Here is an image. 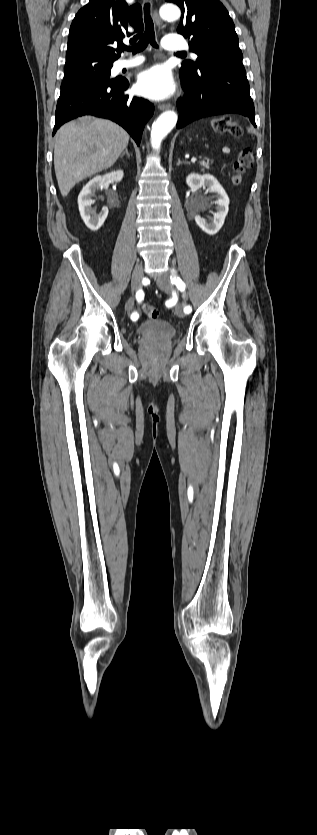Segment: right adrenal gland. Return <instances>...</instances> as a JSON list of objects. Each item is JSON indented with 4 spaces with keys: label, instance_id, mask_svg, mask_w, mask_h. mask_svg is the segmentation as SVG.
<instances>
[{
    "label": "right adrenal gland",
    "instance_id": "obj_1",
    "mask_svg": "<svg viewBox=\"0 0 317 835\" xmlns=\"http://www.w3.org/2000/svg\"><path fill=\"white\" fill-rule=\"evenodd\" d=\"M125 154H127V156H128V157L130 156L127 148H126V149H125V151H124V152L120 155V158H123V156H124Z\"/></svg>",
    "mask_w": 317,
    "mask_h": 835
}]
</instances>
